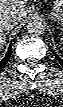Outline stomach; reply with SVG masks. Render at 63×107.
I'll return each mask as SVG.
<instances>
[{
	"mask_svg": "<svg viewBox=\"0 0 63 107\" xmlns=\"http://www.w3.org/2000/svg\"><path fill=\"white\" fill-rule=\"evenodd\" d=\"M49 17L59 24H63V0L54 1V6L49 12Z\"/></svg>",
	"mask_w": 63,
	"mask_h": 107,
	"instance_id": "stomach-1",
	"label": "stomach"
}]
</instances>
